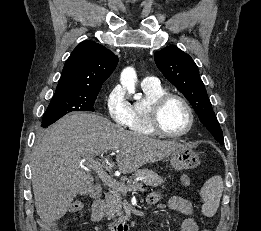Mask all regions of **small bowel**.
<instances>
[{
    "mask_svg": "<svg viewBox=\"0 0 261 231\" xmlns=\"http://www.w3.org/2000/svg\"><path fill=\"white\" fill-rule=\"evenodd\" d=\"M180 181L184 188H188L190 186V179L187 175H182L180 177ZM161 200L162 196L158 192L149 194L146 199L149 205H157ZM168 207L185 217L180 231H209L207 229L199 228V225L193 215L192 204L184 197L179 195L172 196L168 201Z\"/></svg>",
    "mask_w": 261,
    "mask_h": 231,
    "instance_id": "1",
    "label": "small bowel"
}]
</instances>
